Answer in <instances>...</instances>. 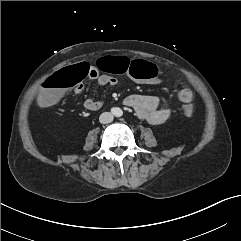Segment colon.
<instances>
[{
  "label": "colon",
  "instance_id": "1",
  "mask_svg": "<svg viewBox=\"0 0 241 241\" xmlns=\"http://www.w3.org/2000/svg\"><path fill=\"white\" fill-rule=\"evenodd\" d=\"M99 65L105 71L117 74L129 73L133 77L140 79L154 78L157 73L156 66L143 58L131 61L123 56L106 57L100 61ZM90 73L91 66L86 61L68 65L64 70L55 73L46 81L38 97L39 103L42 106L55 104L67 89L76 87ZM180 97L184 100L188 98L187 93H181ZM183 113L185 116L191 117L194 114V107L185 102Z\"/></svg>",
  "mask_w": 241,
  "mask_h": 241
}]
</instances>
